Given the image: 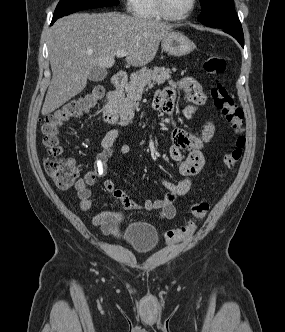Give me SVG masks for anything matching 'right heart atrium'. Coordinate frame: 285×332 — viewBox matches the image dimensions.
Wrapping results in <instances>:
<instances>
[{"label":"right heart atrium","instance_id":"d8ad5b80","mask_svg":"<svg viewBox=\"0 0 285 332\" xmlns=\"http://www.w3.org/2000/svg\"><path fill=\"white\" fill-rule=\"evenodd\" d=\"M135 0H124V4L127 10H132Z\"/></svg>","mask_w":285,"mask_h":332}]
</instances>
